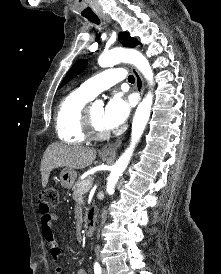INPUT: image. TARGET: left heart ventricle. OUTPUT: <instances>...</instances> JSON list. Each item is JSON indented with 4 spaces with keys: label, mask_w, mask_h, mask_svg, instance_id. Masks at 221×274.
<instances>
[{
    "label": "left heart ventricle",
    "mask_w": 221,
    "mask_h": 274,
    "mask_svg": "<svg viewBox=\"0 0 221 274\" xmlns=\"http://www.w3.org/2000/svg\"><path fill=\"white\" fill-rule=\"evenodd\" d=\"M91 116L94 123L102 130H105L101 125V117L103 114L104 108L100 105H94L91 107Z\"/></svg>",
    "instance_id": "obj_1"
}]
</instances>
